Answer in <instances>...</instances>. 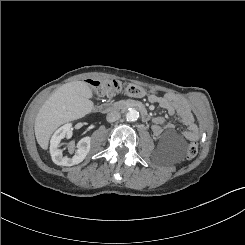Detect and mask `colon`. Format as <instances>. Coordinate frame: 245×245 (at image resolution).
<instances>
[{"instance_id": "1", "label": "colon", "mask_w": 245, "mask_h": 245, "mask_svg": "<svg viewBox=\"0 0 245 245\" xmlns=\"http://www.w3.org/2000/svg\"><path fill=\"white\" fill-rule=\"evenodd\" d=\"M95 94L99 98H111L120 93H125L133 97L144 96L147 92L146 90L134 84L124 85L116 80H106L99 81L94 84ZM198 152V146L195 143L188 145L186 150V157L188 159L194 158Z\"/></svg>"}]
</instances>
